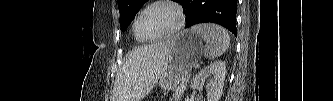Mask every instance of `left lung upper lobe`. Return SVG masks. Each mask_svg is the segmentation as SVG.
Instances as JSON below:
<instances>
[{"mask_svg":"<svg viewBox=\"0 0 333 101\" xmlns=\"http://www.w3.org/2000/svg\"><path fill=\"white\" fill-rule=\"evenodd\" d=\"M147 0H118V8L120 12V25L122 31H125L128 24L135 17L141 6ZM175 2H181L182 0H173Z\"/></svg>","mask_w":333,"mask_h":101,"instance_id":"left-lung-upper-lobe-1","label":"left lung upper lobe"}]
</instances>
